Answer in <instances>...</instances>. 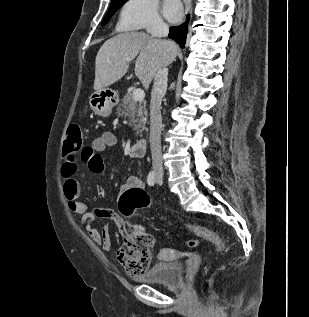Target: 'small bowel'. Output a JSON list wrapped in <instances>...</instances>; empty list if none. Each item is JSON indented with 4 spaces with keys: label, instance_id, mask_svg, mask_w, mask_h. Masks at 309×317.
Returning a JSON list of instances; mask_svg holds the SVG:
<instances>
[{
    "label": "small bowel",
    "instance_id": "small-bowel-1",
    "mask_svg": "<svg viewBox=\"0 0 309 317\" xmlns=\"http://www.w3.org/2000/svg\"><path fill=\"white\" fill-rule=\"evenodd\" d=\"M116 145L117 138L115 134L110 131L104 132L87 147L85 154L81 156V160L86 163L93 174L105 176L106 169L101 153L107 148H112ZM76 172V162L74 160H65L61 174L68 207L73 213L80 215V224L92 241L101 246L104 251L109 252L112 242L108 225L104 222L101 229H98L93 225L95 219L113 221L122 235L127 232V222L121 215L110 209L97 208L94 211H90L88 206L81 200V187L77 180ZM129 189H144V182L137 176H131L120 187L121 195Z\"/></svg>",
    "mask_w": 309,
    "mask_h": 317
}]
</instances>
